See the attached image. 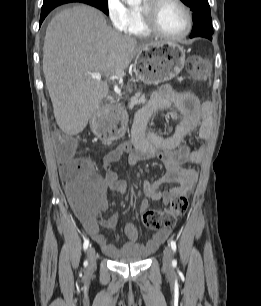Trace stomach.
<instances>
[{
    "label": "stomach",
    "mask_w": 261,
    "mask_h": 306,
    "mask_svg": "<svg viewBox=\"0 0 261 306\" xmlns=\"http://www.w3.org/2000/svg\"><path fill=\"white\" fill-rule=\"evenodd\" d=\"M185 64V49L175 42H160L141 50L135 59L137 77L147 85H156L176 77ZM101 116L91 117L93 132L101 137L104 132L100 125Z\"/></svg>",
    "instance_id": "1"
}]
</instances>
